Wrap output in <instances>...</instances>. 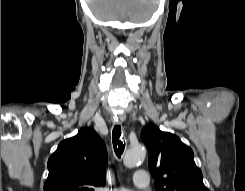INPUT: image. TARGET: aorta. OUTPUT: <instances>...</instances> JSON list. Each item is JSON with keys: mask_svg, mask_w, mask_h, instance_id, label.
Listing matches in <instances>:
<instances>
[{"mask_svg": "<svg viewBox=\"0 0 245 191\" xmlns=\"http://www.w3.org/2000/svg\"><path fill=\"white\" fill-rule=\"evenodd\" d=\"M146 156V149L141 144L131 145L126 151L123 163L126 167L132 168L136 166Z\"/></svg>", "mask_w": 245, "mask_h": 191, "instance_id": "762f6f07", "label": "aorta"}]
</instances>
